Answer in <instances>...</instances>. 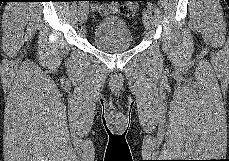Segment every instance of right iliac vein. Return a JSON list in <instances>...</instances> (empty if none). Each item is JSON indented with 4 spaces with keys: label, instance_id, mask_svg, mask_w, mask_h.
Listing matches in <instances>:
<instances>
[{
    "label": "right iliac vein",
    "instance_id": "obj_1",
    "mask_svg": "<svg viewBox=\"0 0 229 161\" xmlns=\"http://www.w3.org/2000/svg\"><path fill=\"white\" fill-rule=\"evenodd\" d=\"M89 14V7L86 3H81L78 8V15L80 22L83 24L86 22Z\"/></svg>",
    "mask_w": 229,
    "mask_h": 161
}]
</instances>
